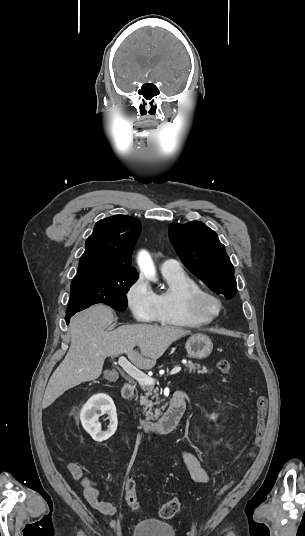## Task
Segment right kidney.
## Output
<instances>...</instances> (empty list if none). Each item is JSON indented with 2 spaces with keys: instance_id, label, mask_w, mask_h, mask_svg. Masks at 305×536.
<instances>
[{
  "instance_id": "obj_1",
  "label": "right kidney",
  "mask_w": 305,
  "mask_h": 536,
  "mask_svg": "<svg viewBox=\"0 0 305 536\" xmlns=\"http://www.w3.org/2000/svg\"><path fill=\"white\" fill-rule=\"evenodd\" d=\"M100 410V412H99ZM107 414V420H110L109 428L106 432L101 430V422H99L100 416ZM80 420L82 426L90 436H92L95 442H103L108 440L117 430V414L113 400L106 396V394H97L92 396L89 402L83 406L80 414Z\"/></svg>"
}]
</instances>
